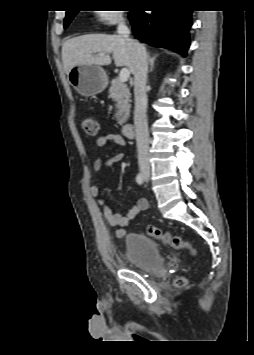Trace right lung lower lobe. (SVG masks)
<instances>
[{"mask_svg":"<svg viewBox=\"0 0 254 355\" xmlns=\"http://www.w3.org/2000/svg\"><path fill=\"white\" fill-rule=\"evenodd\" d=\"M191 14V10L165 5L150 14L143 10H131L129 19L137 39L186 56L190 45L188 31L192 25Z\"/></svg>","mask_w":254,"mask_h":355,"instance_id":"1","label":"right lung lower lobe"}]
</instances>
